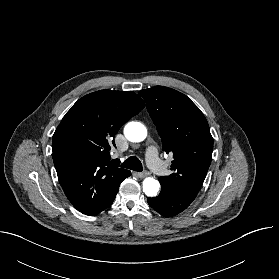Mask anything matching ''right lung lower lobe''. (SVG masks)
I'll return each mask as SVG.
<instances>
[{
    "label": "right lung lower lobe",
    "instance_id": "right-lung-lower-lobe-1",
    "mask_svg": "<svg viewBox=\"0 0 279 279\" xmlns=\"http://www.w3.org/2000/svg\"><path fill=\"white\" fill-rule=\"evenodd\" d=\"M130 175V174H129ZM128 175V176H129ZM127 176V177H128ZM126 178V177H125ZM124 178V179H125ZM123 179V180H124ZM123 180H121L119 183H117L115 186H114V188L110 191V193H109V195H108V197H107V199L105 200V202L98 208V209H96L95 211H93V212H91V213H89V214H86V215H96V214H98V213H100L102 210H104V209H106L107 207H109L112 203H113V201H114V199H115V197H116V194H117V192H118V190H119V185H120V183L123 181Z\"/></svg>",
    "mask_w": 279,
    "mask_h": 279
}]
</instances>
